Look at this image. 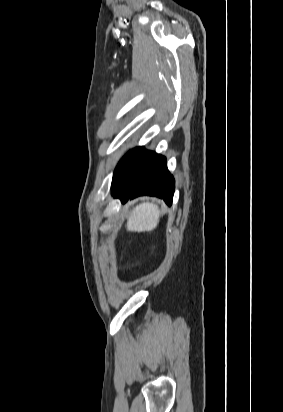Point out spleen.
Segmentation results:
<instances>
[{
	"instance_id": "spleen-1",
	"label": "spleen",
	"mask_w": 283,
	"mask_h": 412,
	"mask_svg": "<svg viewBox=\"0 0 283 412\" xmlns=\"http://www.w3.org/2000/svg\"><path fill=\"white\" fill-rule=\"evenodd\" d=\"M160 217L159 207L153 203L137 205L131 212L127 221V230L132 232H145L154 230Z\"/></svg>"
}]
</instances>
